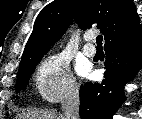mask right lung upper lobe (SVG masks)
<instances>
[{"label":"right lung upper lobe","instance_id":"obj_1","mask_svg":"<svg viewBox=\"0 0 142 119\" xmlns=\"http://www.w3.org/2000/svg\"><path fill=\"white\" fill-rule=\"evenodd\" d=\"M73 19L83 30L97 23L105 46L142 29L133 0H54L38 14L20 67L44 55Z\"/></svg>","mask_w":142,"mask_h":119}]
</instances>
